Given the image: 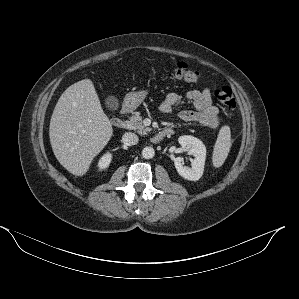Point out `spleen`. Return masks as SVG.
I'll list each match as a JSON object with an SVG mask.
<instances>
[{
  "label": "spleen",
  "mask_w": 299,
  "mask_h": 299,
  "mask_svg": "<svg viewBox=\"0 0 299 299\" xmlns=\"http://www.w3.org/2000/svg\"><path fill=\"white\" fill-rule=\"evenodd\" d=\"M231 147V131L230 127L224 125L220 128L219 134L214 146L212 163L218 168L225 162Z\"/></svg>",
  "instance_id": "3e777b00"
}]
</instances>
